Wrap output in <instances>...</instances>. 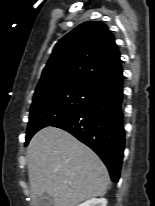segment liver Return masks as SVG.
I'll return each instance as SVG.
<instances>
[{
  "label": "liver",
  "mask_w": 155,
  "mask_h": 206,
  "mask_svg": "<svg viewBox=\"0 0 155 206\" xmlns=\"http://www.w3.org/2000/svg\"><path fill=\"white\" fill-rule=\"evenodd\" d=\"M27 159L34 205L44 194L52 198L53 206H77L107 192L110 178L104 163L62 129L38 131L28 145Z\"/></svg>",
  "instance_id": "6515ba94"
}]
</instances>
